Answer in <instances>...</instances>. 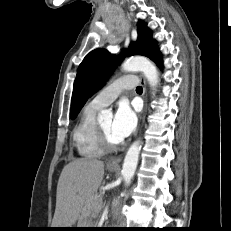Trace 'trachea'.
<instances>
[{"label": "trachea", "mask_w": 231, "mask_h": 231, "mask_svg": "<svg viewBox=\"0 0 231 231\" xmlns=\"http://www.w3.org/2000/svg\"><path fill=\"white\" fill-rule=\"evenodd\" d=\"M136 91H138V92H142V91H143V89H142V87L138 86V87L136 88Z\"/></svg>", "instance_id": "3493384b"}]
</instances>
